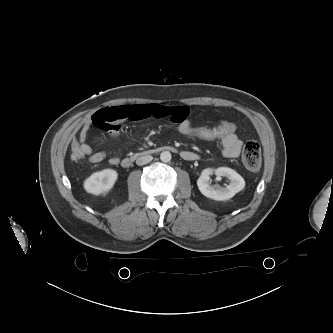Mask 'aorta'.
I'll return each mask as SVG.
<instances>
[{
	"label": "aorta",
	"mask_w": 333,
	"mask_h": 333,
	"mask_svg": "<svg viewBox=\"0 0 333 333\" xmlns=\"http://www.w3.org/2000/svg\"><path fill=\"white\" fill-rule=\"evenodd\" d=\"M172 156H171V153L169 151H163L161 154H160V159L162 162H170Z\"/></svg>",
	"instance_id": "1"
}]
</instances>
